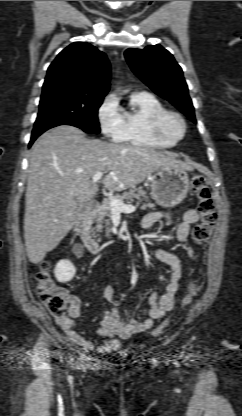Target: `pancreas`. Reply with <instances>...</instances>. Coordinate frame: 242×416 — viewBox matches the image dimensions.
I'll use <instances>...</instances> for the list:
<instances>
[{
	"mask_svg": "<svg viewBox=\"0 0 242 416\" xmlns=\"http://www.w3.org/2000/svg\"><path fill=\"white\" fill-rule=\"evenodd\" d=\"M116 198L121 200L122 202H127L131 204L136 200H138L137 205L142 200H145V203L142 204L141 209L146 210L148 208L153 209L155 205L148 199L147 193L142 190L141 188L133 187L129 191L124 192L122 195H116L114 197L109 198L108 200L103 201L97 209L92 213V220L96 223V226L93 230L97 232H101L102 228H106V232L109 233L110 229L109 226L111 224V216H112V207L110 206V200Z\"/></svg>",
	"mask_w": 242,
	"mask_h": 416,
	"instance_id": "pancreas-1",
	"label": "pancreas"
}]
</instances>
